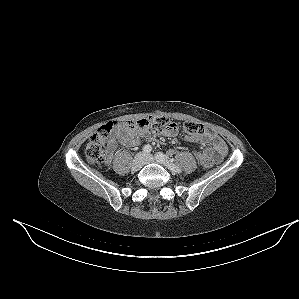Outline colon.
I'll list each match as a JSON object with an SVG mask.
<instances>
[{
    "label": "colon",
    "instance_id": "obj_1",
    "mask_svg": "<svg viewBox=\"0 0 299 299\" xmlns=\"http://www.w3.org/2000/svg\"><path fill=\"white\" fill-rule=\"evenodd\" d=\"M118 122H108L93 134L85 149V156L88 162L97 164L105 161L108 155V147L111 133L118 127ZM127 125L131 128L153 129L163 133H174L179 130L176 123L164 116H152L138 121H127ZM203 126L195 121H187L183 125V130L188 134H196L202 130ZM203 168H211L213 162L203 160L201 162Z\"/></svg>",
    "mask_w": 299,
    "mask_h": 299
}]
</instances>
